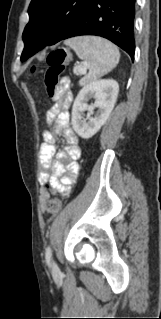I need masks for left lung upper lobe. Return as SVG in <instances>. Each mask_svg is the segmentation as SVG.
Here are the masks:
<instances>
[{
    "mask_svg": "<svg viewBox=\"0 0 161 319\" xmlns=\"http://www.w3.org/2000/svg\"><path fill=\"white\" fill-rule=\"evenodd\" d=\"M92 1L32 0L28 9L30 20L23 32L25 48L21 57L31 51L33 44L39 51L61 41Z\"/></svg>",
    "mask_w": 161,
    "mask_h": 319,
    "instance_id": "left-lung-upper-lobe-1",
    "label": "left lung upper lobe"
}]
</instances>
